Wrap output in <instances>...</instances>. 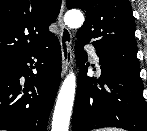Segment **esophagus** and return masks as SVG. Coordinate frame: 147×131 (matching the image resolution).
I'll return each mask as SVG.
<instances>
[{
    "mask_svg": "<svg viewBox=\"0 0 147 131\" xmlns=\"http://www.w3.org/2000/svg\"><path fill=\"white\" fill-rule=\"evenodd\" d=\"M63 15H64V0L62 1L60 12L57 18L58 25L60 27V45L62 51V72H61L62 77L65 76V74L67 73L69 67L73 62L72 34L63 21Z\"/></svg>",
    "mask_w": 147,
    "mask_h": 131,
    "instance_id": "1",
    "label": "esophagus"
}]
</instances>
